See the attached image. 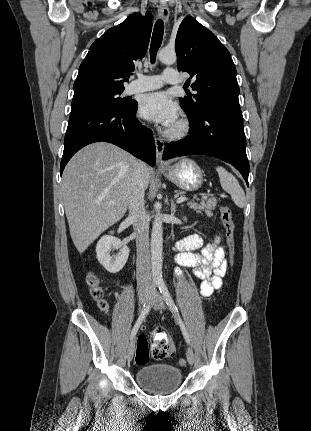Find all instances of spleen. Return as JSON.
I'll use <instances>...</instances> for the list:
<instances>
[{
    "label": "spleen",
    "mask_w": 311,
    "mask_h": 431,
    "mask_svg": "<svg viewBox=\"0 0 311 431\" xmlns=\"http://www.w3.org/2000/svg\"><path fill=\"white\" fill-rule=\"evenodd\" d=\"M216 172H218L221 188L230 194L234 204L238 208H244L246 206V198L241 186H239L238 180L234 178L233 174L222 168V166H218Z\"/></svg>",
    "instance_id": "obj_1"
}]
</instances>
